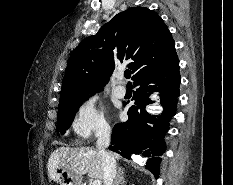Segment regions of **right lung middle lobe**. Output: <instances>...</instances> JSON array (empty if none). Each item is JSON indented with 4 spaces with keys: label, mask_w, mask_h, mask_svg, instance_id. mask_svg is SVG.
Wrapping results in <instances>:
<instances>
[{
    "label": "right lung middle lobe",
    "mask_w": 233,
    "mask_h": 185,
    "mask_svg": "<svg viewBox=\"0 0 233 185\" xmlns=\"http://www.w3.org/2000/svg\"><path fill=\"white\" fill-rule=\"evenodd\" d=\"M84 99L67 102L59 105V112L57 116L58 126L62 134L70 127L74 119V115Z\"/></svg>",
    "instance_id": "1"
}]
</instances>
